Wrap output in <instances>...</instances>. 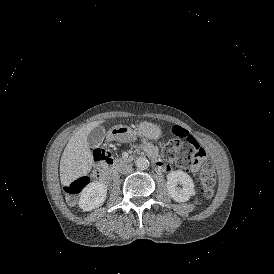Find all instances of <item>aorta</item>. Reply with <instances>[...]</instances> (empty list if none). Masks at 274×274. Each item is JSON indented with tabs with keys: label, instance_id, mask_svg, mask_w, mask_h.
Returning <instances> with one entry per match:
<instances>
[{
	"label": "aorta",
	"instance_id": "obj_1",
	"mask_svg": "<svg viewBox=\"0 0 274 274\" xmlns=\"http://www.w3.org/2000/svg\"><path fill=\"white\" fill-rule=\"evenodd\" d=\"M134 164L138 169L144 170V169L148 168L149 161L147 160V158L142 156V157L136 158L134 161Z\"/></svg>",
	"mask_w": 274,
	"mask_h": 274
}]
</instances>
